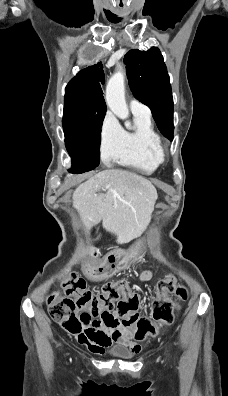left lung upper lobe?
I'll return each instance as SVG.
<instances>
[{
    "mask_svg": "<svg viewBox=\"0 0 228 396\" xmlns=\"http://www.w3.org/2000/svg\"><path fill=\"white\" fill-rule=\"evenodd\" d=\"M126 73L135 98L147 105L161 133L173 139V97L170 78L160 50L132 49L124 57Z\"/></svg>",
    "mask_w": 228,
    "mask_h": 396,
    "instance_id": "obj_1",
    "label": "left lung upper lobe"
}]
</instances>
